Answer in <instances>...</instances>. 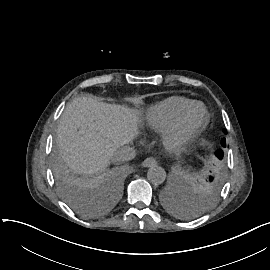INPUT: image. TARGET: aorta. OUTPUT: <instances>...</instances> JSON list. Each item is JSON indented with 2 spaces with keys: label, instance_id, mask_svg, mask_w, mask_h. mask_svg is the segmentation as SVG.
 Segmentation results:
<instances>
[{
  "label": "aorta",
  "instance_id": "obj_1",
  "mask_svg": "<svg viewBox=\"0 0 270 270\" xmlns=\"http://www.w3.org/2000/svg\"><path fill=\"white\" fill-rule=\"evenodd\" d=\"M149 181L153 184H162L166 179V171L157 165L152 166L147 173Z\"/></svg>",
  "mask_w": 270,
  "mask_h": 270
}]
</instances>
